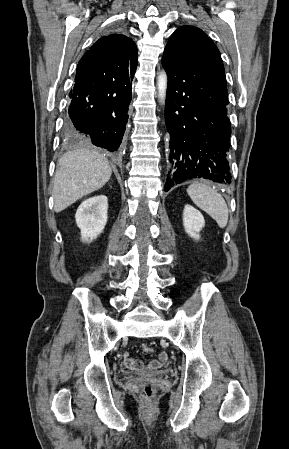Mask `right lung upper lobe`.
Wrapping results in <instances>:
<instances>
[{"instance_id":"right-lung-upper-lobe-1","label":"right lung upper lobe","mask_w":289,"mask_h":449,"mask_svg":"<svg viewBox=\"0 0 289 449\" xmlns=\"http://www.w3.org/2000/svg\"><path fill=\"white\" fill-rule=\"evenodd\" d=\"M137 47L122 34L101 37L80 59L75 79L102 81L135 73Z\"/></svg>"}]
</instances>
